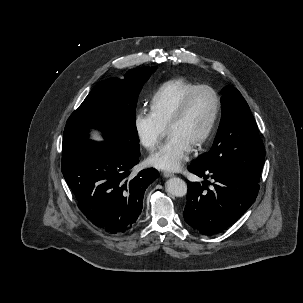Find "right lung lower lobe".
<instances>
[{"label": "right lung lower lobe", "mask_w": 303, "mask_h": 303, "mask_svg": "<svg viewBox=\"0 0 303 303\" xmlns=\"http://www.w3.org/2000/svg\"><path fill=\"white\" fill-rule=\"evenodd\" d=\"M110 142L85 140L62 152L61 169L78 208L97 227L124 233L136 223L146 188L159 176L155 169H131L139 162Z\"/></svg>", "instance_id": "right-lung-lower-lobe-1"}]
</instances>
